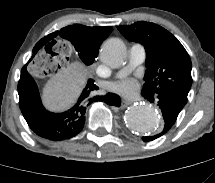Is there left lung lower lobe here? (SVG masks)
<instances>
[{"label":"left lung lower lobe","instance_id":"left-lung-lower-lobe-1","mask_svg":"<svg viewBox=\"0 0 215 183\" xmlns=\"http://www.w3.org/2000/svg\"><path fill=\"white\" fill-rule=\"evenodd\" d=\"M141 94L144 97H147L149 101L154 100V97L152 95H145L143 93ZM155 97L164 117V129L158 135L143 137L142 139L145 142L152 141L165 134L176 122L178 114L185 106V104H183L180 100L169 94H158L155 95Z\"/></svg>","mask_w":215,"mask_h":183}]
</instances>
